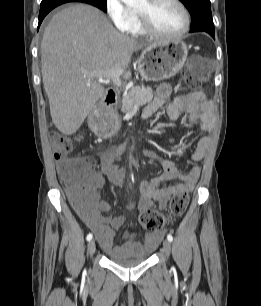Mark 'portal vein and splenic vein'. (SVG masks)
Wrapping results in <instances>:
<instances>
[{"label": "portal vein and splenic vein", "instance_id": "1", "mask_svg": "<svg viewBox=\"0 0 261 306\" xmlns=\"http://www.w3.org/2000/svg\"><path fill=\"white\" fill-rule=\"evenodd\" d=\"M123 69L113 68L107 71L94 72L92 75L98 77L99 82H104L105 80H111L116 86H121L122 82L120 76L123 74Z\"/></svg>", "mask_w": 261, "mask_h": 306}]
</instances>
